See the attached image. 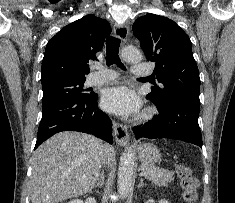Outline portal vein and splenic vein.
<instances>
[{
  "label": "portal vein and splenic vein",
  "mask_w": 235,
  "mask_h": 203,
  "mask_svg": "<svg viewBox=\"0 0 235 203\" xmlns=\"http://www.w3.org/2000/svg\"><path fill=\"white\" fill-rule=\"evenodd\" d=\"M145 174H146V172L142 170V171L140 172L139 176H144Z\"/></svg>",
  "instance_id": "obj_1"
}]
</instances>
